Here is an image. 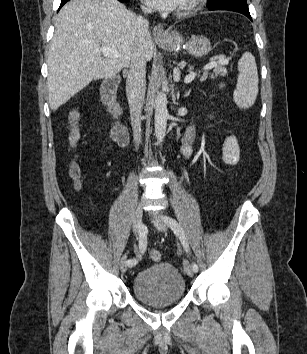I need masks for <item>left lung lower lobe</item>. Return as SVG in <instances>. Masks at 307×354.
<instances>
[{"label": "left lung lower lobe", "mask_w": 307, "mask_h": 354, "mask_svg": "<svg viewBox=\"0 0 307 354\" xmlns=\"http://www.w3.org/2000/svg\"><path fill=\"white\" fill-rule=\"evenodd\" d=\"M210 10H229V11H235L239 12L241 14H244L247 16L250 20H252L249 9L248 7H238V6H215V7H210Z\"/></svg>", "instance_id": "0a47b994"}]
</instances>
